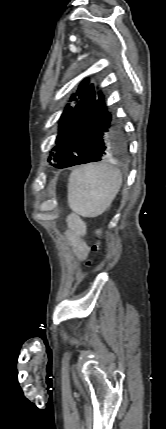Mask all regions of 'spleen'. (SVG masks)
I'll list each match as a JSON object with an SVG mask.
<instances>
[{"label": "spleen", "mask_w": 166, "mask_h": 429, "mask_svg": "<svg viewBox=\"0 0 166 429\" xmlns=\"http://www.w3.org/2000/svg\"><path fill=\"white\" fill-rule=\"evenodd\" d=\"M122 184L121 171L109 164H87L73 170L69 177L68 203L83 217L105 212Z\"/></svg>", "instance_id": "1"}]
</instances>
